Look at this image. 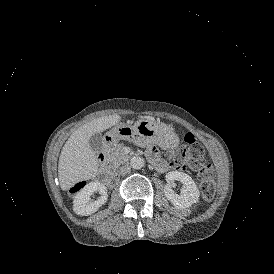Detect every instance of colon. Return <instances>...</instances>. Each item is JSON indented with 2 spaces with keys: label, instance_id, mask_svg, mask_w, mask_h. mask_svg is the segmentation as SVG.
<instances>
[{
  "label": "colon",
  "instance_id": "1",
  "mask_svg": "<svg viewBox=\"0 0 274 274\" xmlns=\"http://www.w3.org/2000/svg\"><path fill=\"white\" fill-rule=\"evenodd\" d=\"M204 155L203 145L196 140L191 143L185 142V145L168 153L169 158L172 160L171 163L176 169L183 168L186 165L197 169L202 197L211 200L216 191L215 175L212 166L205 162ZM87 188V180H72L69 192L75 193L78 189Z\"/></svg>",
  "mask_w": 274,
  "mask_h": 274
}]
</instances>
